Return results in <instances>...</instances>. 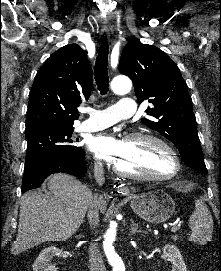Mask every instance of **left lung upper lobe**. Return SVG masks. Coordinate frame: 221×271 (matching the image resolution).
Returning a JSON list of instances; mask_svg holds the SVG:
<instances>
[{"instance_id": "left-lung-upper-lobe-1", "label": "left lung upper lobe", "mask_w": 221, "mask_h": 271, "mask_svg": "<svg viewBox=\"0 0 221 271\" xmlns=\"http://www.w3.org/2000/svg\"><path fill=\"white\" fill-rule=\"evenodd\" d=\"M119 71L133 81L140 103L153 104L146 110L151 118L141 121L168 138L186 165L206 174L192 99L175 62L155 46L132 41L122 51Z\"/></svg>"}]
</instances>
